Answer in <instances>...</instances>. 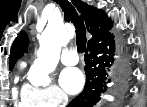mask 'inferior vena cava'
Returning a JSON list of instances; mask_svg holds the SVG:
<instances>
[{"label":"inferior vena cava","mask_w":147,"mask_h":107,"mask_svg":"<svg viewBox=\"0 0 147 107\" xmlns=\"http://www.w3.org/2000/svg\"><path fill=\"white\" fill-rule=\"evenodd\" d=\"M63 100H64V104H66V103H67V101H68V98H67V96H66V95H64V96H63Z\"/></svg>","instance_id":"602c4592"}]
</instances>
